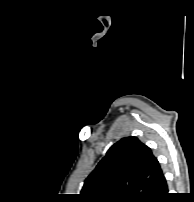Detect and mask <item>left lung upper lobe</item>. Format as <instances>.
I'll return each instance as SVG.
<instances>
[{"mask_svg": "<svg viewBox=\"0 0 194 202\" xmlns=\"http://www.w3.org/2000/svg\"><path fill=\"white\" fill-rule=\"evenodd\" d=\"M164 175L149 147L136 137L114 144L85 180L84 202H152Z\"/></svg>", "mask_w": 194, "mask_h": 202, "instance_id": "obj_1", "label": "left lung upper lobe"}]
</instances>
